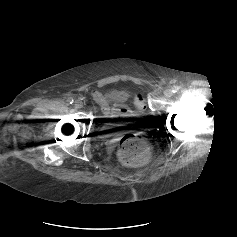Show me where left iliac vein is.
Segmentation results:
<instances>
[{
	"label": "left iliac vein",
	"instance_id": "obj_1",
	"mask_svg": "<svg viewBox=\"0 0 237 237\" xmlns=\"http://www.w3.org/2000/svg\"><path fill=\"white\" fill-rule=\"evenodd\" d=\"M173 95V92L171 89H166L164 91V96L167 97V98H170L171 96Z\"/></svg>",
	"mask_w": 237,
	"mask_h": 237
}]
</instances>
